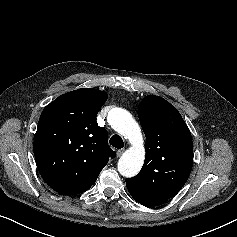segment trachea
<instances>
[{
    "label": "trachea",
    "instance_id": "3493384b",
    "mask_svg": "<svg viewBox=\"0 0 237 237\" xmlns=\"http://www.w3.org/2000/svg\"><path fill=\"white\" fill-rule=\"evenodd\" d=\"M109 143H110V145H112L113 147H115L117 149H121L124 147L123 139L119 135H113L110 138Z\"/></svg>",
    "mask_w": 237,
    "mask_h": 237
}]
</instances>
